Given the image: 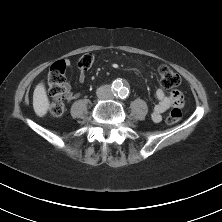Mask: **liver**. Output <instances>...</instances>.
<instances>
[{
  "instance_id": "6515ba94",
  "label": "liver",
  "mask_w": 222,
  "mask_h": 222,
  "mask_svg": "<svg viewBox=\"0 0 222 222\" xmlns=\"http://www.w3.org/2000/svg\"><path fill=\"white\" fill-rule=\"evenodd\" d=\"M49 99L46 93L44 83H39L33 93V108L37 116L43 117L49 109Z\"/></svg>"
}]
</instances>
